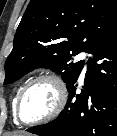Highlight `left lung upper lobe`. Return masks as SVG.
<instances>
[{
    "label": "left lung upper lobe",
    "mask_w": 117,
    "mask_h": 136,
    "mask_svg": "<svg viewBox=\"0 0 117 136\" xmlns=\"http://www.w3.org/2000/svg\"><path fill=\"white\" fill-rule=\"evenodd\" d=\"M116 22L117 0H31L5 63L4 84L45 67L68 87L84 63L72 56L89 52Z\"/></svg>",
    "instance_id": "left-lung-upper-lobe-1"
}]
</instances>
